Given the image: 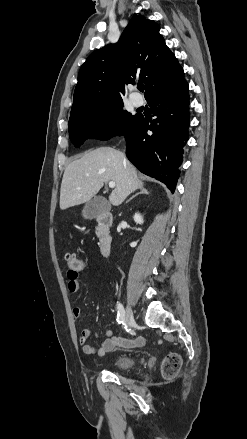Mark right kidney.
<instances>
[{
  "mask_svg": "<svg viewBox=\"0 0 247 439\" xmlns=\"http://www.w3.org/2000/svg\"><path fill=\"white\" fill-rule=\"evenodd\" d=\"M133 219L137 224H143V217L139 213H135Z\"/></svg>",
  "mask_w": 247,
  "mask_h": 439,
  "instance_id": "1",
  "label": "right kidney"
}]
</instances>
